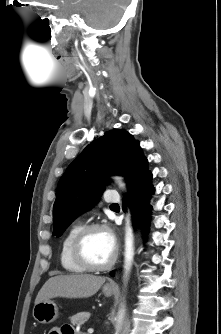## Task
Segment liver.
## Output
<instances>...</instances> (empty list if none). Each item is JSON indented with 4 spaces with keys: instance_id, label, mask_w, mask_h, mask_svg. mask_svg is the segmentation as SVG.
I'll return each instance as SVG.
<instances>
[{
    "instance_id": "1",
    "label": "liver",
    "mask_w": 221,
    "mask_h": 334,
    "mask_svg": "<svg viewBox=\"0 0 221 334\" xmlns=\"http://www.w3.org/2000/svg\"><path fill=\"white\" fill-rule=\"evenodd\" d=\"M105 280V277L89 274L59 275L51 277L38 292L35 304L55 297H91L100 289Z\"/></svg>"
}]
</instances>
